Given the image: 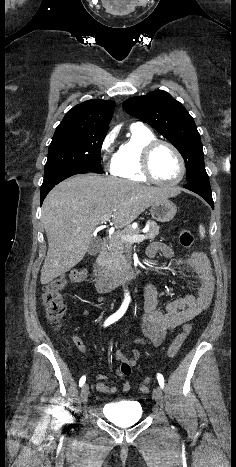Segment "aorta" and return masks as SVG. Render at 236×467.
Returning <instances> with one entry per match:
<instances>
[{
  "mask_svg": "<svg viewBox=\"0 0 236 467\" xmlns=\"http://www.w3.org/2000/svg\"><path fill=\"white\" fill-rule=\"evenodd\" d=\"M125 298H126V300H130L129 293H126Z\"/></svg>",
  "mask_w": 236,
  "mask_h": 467,
  "instance_id": "aorta-1",
  "label": "aorta"
}]
</instances>
